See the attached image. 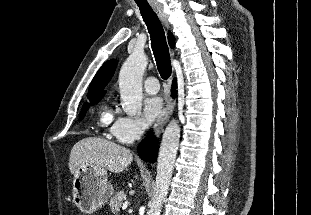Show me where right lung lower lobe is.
Segmentation results:
<instances>
[{
    "label": "right lung lower lobe",
    "instance_id": "1",
    "mask_svg": "<svg viewBox=\"0 0 311 215\" xmlns=\"http://www.w3.org/2000/svg\"><path fill=\"white\" fill-rule=\"evenodd\" d=\"M176 81H173L172 86V96L176 97ZM157 140L154 138L153 134H148L137 147L138 154L141 159L147 162H155L157 157Z\"/></svg>",
    "mask_w": 311,
    "mask_h": 215
}]
</instances>
